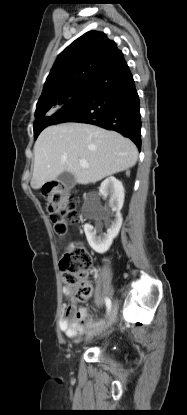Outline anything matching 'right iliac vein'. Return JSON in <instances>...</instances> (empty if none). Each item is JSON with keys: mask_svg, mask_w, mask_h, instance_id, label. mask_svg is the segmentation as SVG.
Masks as SVG:
<instances>
[{"mask_svg": "<svg viewBox=\"0 0 187 415\" xmlns=\"http://www.w3.org/2000/svg\"><path fill=\"white\" fill-rule=\"evenodd\" d=\"M117 311H118V303L115 300L113 302L112 309H111V312L109 314L107 322L100 325V326H98V327H96V328H94V329H92V330H90L88 332V335L89 336H96V335L102 333L103 331H105L108 327H110L116 320Z\"/></svg>", "mask_w": 187, "mask_h": 415, "instance_id": "1", "label": "right iliac vein"}]
</instances>
